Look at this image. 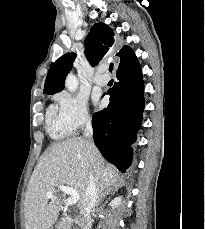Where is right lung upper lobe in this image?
<instances>
[{
	"label": "right lung upper lobe",
	"mask_w": 205,
	"mask_h": 229,
	"mask_svg": "<svg viewBox=\"0 0 205 229\" xmlns=\"http://www.w3.org/2000/svg\"><path fill=\"white\" fill-rule=\"evenodd\" d=\"M84 44L85 54L92 66L111 54L116 47L114 33L104 23H97L91 28ZM116 55L120 58L119 68L128 66L137 59L128 46H124ZM75 57L76 54L73 52L66 53L53 63L45 81V94H54L63 90L65 77L71 70Z\"/></svg>",
	"instance_id": "obj_1"
}]
</instances>
